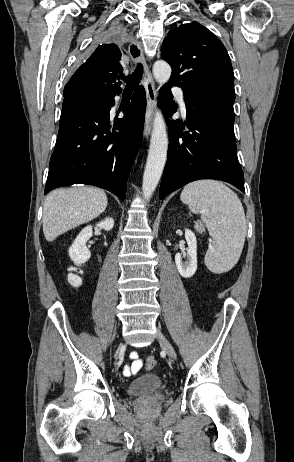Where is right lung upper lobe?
Here are the masks:
<instances>
[{"label":"right lung upper lobe","instance_id":"obj_1","mask_svg":"<svg viewBox=\"0 0 294 462\" xmlns=\"http://www.w3.org/2000/svg\"><path fill=\"white\" fill-rule=\"evenodd\" d=\"M121 51L115 44L99 45L64 88V100L78 95L106 97L121 93Z\"/></svg>","mask_w":294,"mask_h":462}]
</instances>
